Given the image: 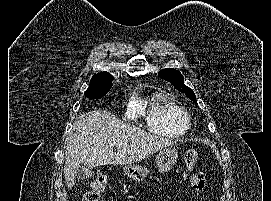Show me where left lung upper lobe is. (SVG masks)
Segmentation results:
<instances>
[{
	"label": "left lung upper lobe",
	"mask_w": 271,
	"mask_h": 201,
	"mask_svg": "<svg viewBox=\"0 0 271 201\" xmlns=\"http://www.w3.org/2000/svg\"><path fill=\"white\" fill-rule=\"evenodd\" d=\"M159 77L170 82L178 91L185 93L193 102H196V96L193 90L184 84L182 74L175 69L167 68L158 73Z\"/></svg>",
	"instance_id": "obj_1"
}]
</instances>
